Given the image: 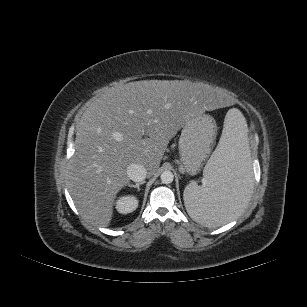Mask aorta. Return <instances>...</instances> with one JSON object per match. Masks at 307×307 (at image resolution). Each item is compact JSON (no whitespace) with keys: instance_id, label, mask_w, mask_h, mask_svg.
<instances>
[{"instance_id":"aorta-1","label":"aorta","mask_w":307,"mask_h":307,"mask_svg":"<svg viewBox=\"0 0 307 307\" xmlns=\"http://www.w3.org/2000/svg\"><path fill=\"white\" fill-rule=\"evenodd\" d=\"M160 178H161L162 183L170 184V183L173 182L174 175L171 171L165 170V171L162 172Z\"/></svg>"}]
</instances>
